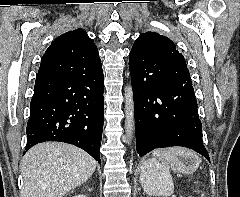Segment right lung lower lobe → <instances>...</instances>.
<instances>
[{
	"label": "right lung lower lobe",
	"mask_w": 240,
	"mask_h": 197,
	"mask_svg": "<svg viewBox=\"0 0 240 197\" xmlns=\"http://www.w3.org/2000/svg\"><path fill=\"white\" fill-rule=\"evenodd\" d=\"M102 69L81 77L35 83L27 123L26 151L45 141L73 144L99 163L104 120Z\"/></svg>",
	"instance_id": "obj_1"
}]
</instances>
